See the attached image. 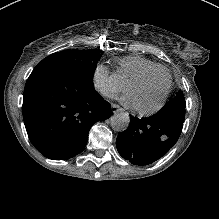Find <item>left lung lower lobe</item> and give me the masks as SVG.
<instances>
[{
  "instance_id": "1",
  "label": "left lung lower lobe",
  "mask_w": 219,
  "mask_h": 219,
  "mask_svg": "<svg viewBox=\"0 0 219 219\" xmlns=\"http://www.w3.org/2000/svg\"><path fill=\"white\" fill-rule=\"evenodd\" d=\"M182 124L156 114L143 119L131 116L129 128L117 137L118 152L133 164H150L165 155L176 143Z\"/></svg>"
}]
</instances>
